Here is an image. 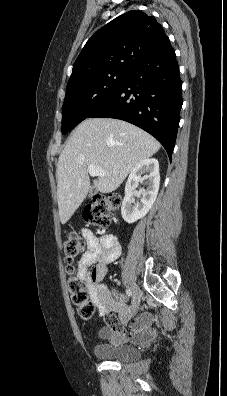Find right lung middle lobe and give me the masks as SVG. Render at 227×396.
<instances>
[{
	"instance_id": "right-lung-middle-lobe-1",
	"label": "right lung middle lobe",
	"mask_w": 227,
	"mask_h": 396,
	"mask_svg": "<svg viewBox=\"0 0 227 396\" xmlns=\"http://www.w3.org/2000/svg\"><path fill=\"white\" fill-rule=\"evenodd\" d=\"M130 70H112L89 77L67 87L63 104L62 133L86 119L124 84Z\"/></svg>"
}]
</instances>
